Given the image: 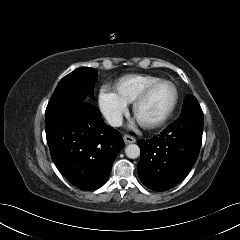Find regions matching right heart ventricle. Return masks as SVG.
Instances as JSON below:
<instances>
[{
  "label": "right heart ventricle",
  "instance_id": "right-heart-ventricle-1",
  "mask_svg": "<svg viewBox=\"0 0 240 240\" xmlns=\"http://www.w3.org/2000/svg\"><path fill=\"white\" fill-rule=\"evenodd\" d=\"M162 81L161 78L144 75V74H131L121 77L115 84L114 90L119 97L130 104L150 85Z\"/></svg>",
  "mask_w": 240,
  "mask_h": 240
}]
</instances>
